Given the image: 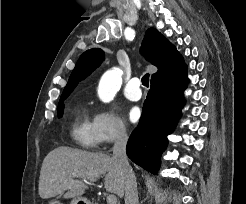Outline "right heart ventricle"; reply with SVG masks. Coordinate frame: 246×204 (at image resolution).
Returning a JSON list of instances; mask_svg holds the SVG:
<instances>
[{"label":"right heart ventricle","instance_id":"e07e8e85","mask_svg":"<svg viewBox=\"0 0 246 204\" xmlns=\"http://www.w3.org/2000/svg\"><path fill=\"white\" fill-rule=\"evenodd\" d=\"M70 133L73 141L82 148L93 149L98 144L93 119L83 107L75 110Z\"/></svg>","mask_w":246,"mask_h":204}]
</instances>
